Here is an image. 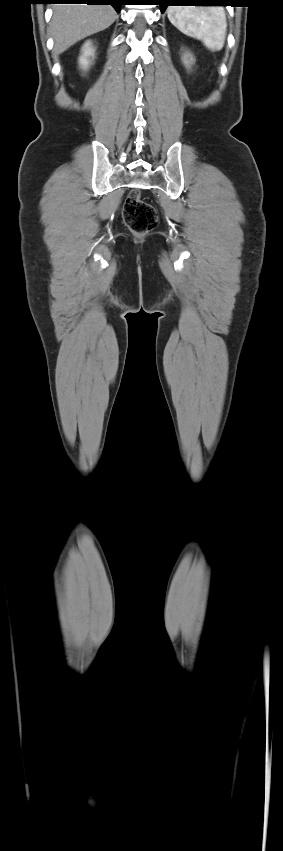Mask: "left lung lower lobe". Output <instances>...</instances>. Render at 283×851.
<instances>
[{"instance_id": "1", "label": "left lung lower lobe", "mask_w": 283, "mask_h": 851, "mask_svg": "<svg viewBox=\"0 0 283 851\" xmlns=\"http://www.w3.org/2000/svg\"><path fill=\"white\" fill-rule=\"evenodd\" d=\"M227 0H157L158 5L161 6V12L163 13L167 6L170 5H223L225 6V2Z\"/></svg>"}]
</instances>
